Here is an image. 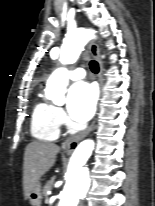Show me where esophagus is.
I'll return each mask as SVG.
<instances>
[{
    "label": "esophagus",
    "instance_id": "obj_1",
    "mask_svg": "<svg viewBox=\"0 0 155 206\" xmlns=\"http://www.w3.org/2000/svg\"><path fill=\"white\" fill-rule=\"evenodd\" d=\"M88 49L90 51V53L93 55V57L97 60L98 64H99V84L100 87L103 86V72H104V68H103V63L102 60L100 58V53H99V47L95 42H90L88 44ZM95 125V121L91 123V125L86 128L85 130L79 132L78 134L69 137L64 143H63V150L67 153H71L72 151H74V149L77 147L78 143L84 139L94 128Z\"/></svg>",
    "mask_w": 155,
    "mask_h": 206
}]
</instances>
